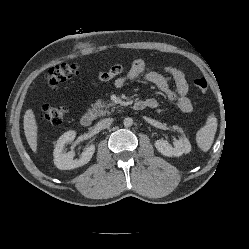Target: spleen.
Returning a JSON list of instances; mask_svg holds the SVG:
<instances>
[{
	"label": "spleen",
	"mask_w": 249,
	"mask_h": 249,
	"mask_svg": "<svg viewBox=\"0 0 249 249\" xmlns=\"http://www.w3.org/2000/svg\"><path fill=\"white\" fill-rule=\"evenodd\" d=\"M217 125V118L212 113L208 116L206 124L198 130L196 142L202 151L207 152L211 148L217 131Z\"/></svg>",
	"instance_id": "spleen-1"
}]
</instances>
